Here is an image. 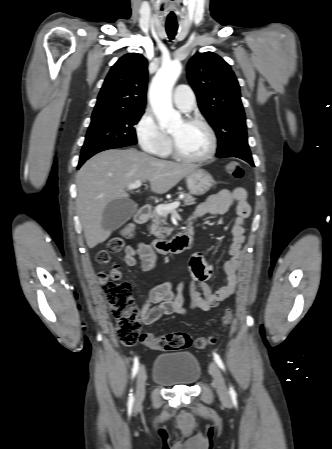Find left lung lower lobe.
Segmentation results:
<instances>
[{
  "mask_svg": "<svg viewBox=\"0 0 332 449\" xmlns=\"http://www.w3.org/2000/svg\"><path fill=\"white\" fill-rule=\"evenodd\" d=\"M219 158L222 157H226V156H218ZM227 157H236V158H240L242 160H245L246 162L250 163L252 166H254L253 160H252V156H244V155H240V154H232V155H228Z\"/></svg>",
  "mask_w": 332,
  "mask_h": 449,
  "instance_id": "0a47b994",
  "label": "left lung lower lobe"
}]
</instances>
